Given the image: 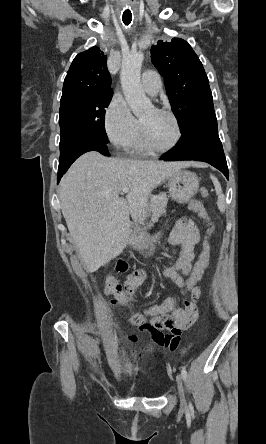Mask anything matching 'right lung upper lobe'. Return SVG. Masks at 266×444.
Returning a JSON list of instances; mask_svg holds the SVG:
<instances>
[{
	"instance_id": "cb5924a9",
	"label": "right lung upper lobe",
	"mask_w": 266,
	"mask_h": 444,
	"mask_svg": "<svg viewBox=\"0 0 266 444\" xmlns=\"http://www.w3.org/2000/svg\"><path fill=\"white\" fill-rule=\"evenodd\" d=\"M110 86L107 56L94 46L74 58L64 80L61 101L112 91Z\"/></svg>"
}]
</instances>
